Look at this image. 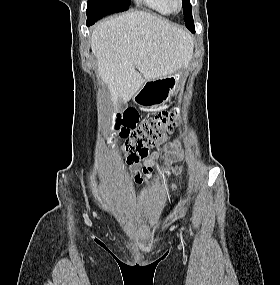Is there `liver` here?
<instances>
[{
  "instance_id": "1",
  "label": "liver",
  "mask_w": 280,
  "mask_h": 285,
  "mask_svg": "<svg viewBox=\"0 0 280 285\" xmlns=\"http://www.w3.org/2000/svg\"><path fill=\"white\" fill-rule=\"evenodd\" d=\"M91 49L97 73L107 84L112 105L128 102L144 85L175 73L193 53V38L184 29L144 11L98 23Z\"/></svg>"
}]
</instances>
